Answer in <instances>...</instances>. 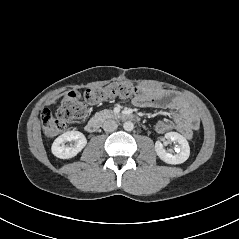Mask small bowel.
<instances>
[{
  "label": "small bowel",
  "instance_id": "obj_1",
  "mask_svg": "<svg viewBox=\"0 0 239 239\" xmlns=\"http://www.w3.org/2000/svg\"><path fill=\"white\" fill-rule=\"evenodd\" d=\"M140 108H161L171 112L174 129L185 138H191L199 128L200 120L195 110L181 97L172 92L155 87H143L142 93L133 99Z\"/></svg>",
  "mask_w": 239,
  "mask_h": 239
}]
</instances>
